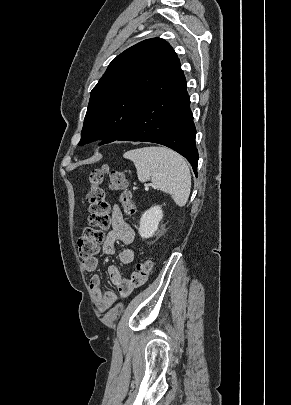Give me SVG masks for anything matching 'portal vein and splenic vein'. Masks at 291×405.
Here are the masks:
<instances>
[{
	"label": "portal vein and splenic vein",
	"mask_w": 291,
	"mask_h": 405,
	"mask_svg": "<svg viewBox=\"0 0 291 405\" xmlns=\"http://www.w3.org/2000/svg\"><path fill=\"white\" fill-rule=\"evenodd\" d=\"M145 190H148V187H147V186L145 187Z\"/></svg>",
	"instance_id": "18ae733b"
}]
</instances>
